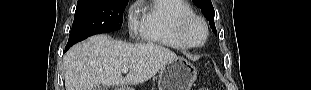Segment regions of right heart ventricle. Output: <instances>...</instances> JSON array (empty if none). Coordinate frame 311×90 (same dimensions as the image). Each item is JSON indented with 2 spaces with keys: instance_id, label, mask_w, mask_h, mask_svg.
<instances>
[{
  "instance_id": "1",
  "label": "right heart ventricle",
  "mask_w": 311,
  "mask_h": 90,
  "mask_svg": "<svg viewBox=\"0 0 311 90\" xmlns=\"http://www.w3.org/2000/svg\"><path fill=\"white\" fill-rule=\"evenodd\" d=\"M194 14L184 0H154L142 12L141 35L143 40L173 49L188 50L177 34L181 18Z\"/></svg>"
}]
</instances>
